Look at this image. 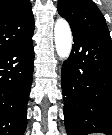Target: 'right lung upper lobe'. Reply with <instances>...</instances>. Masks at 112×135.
<instances>
[{
    "label": "right lung upper lobe",
    "mask_w": 112,
    "mask_h": 135,
    "mask_svg": "<svg viewBox=\"0 0 112 135\" xmlns=\"http://www.w3.org/2000/svg\"><path fill=\"white\" fill-rule=\"evenodd\" d=\"M34 27L29 0H0V53L33 33Z\"/></svg>",
    "instance_id": "1"
}]
</instances>
